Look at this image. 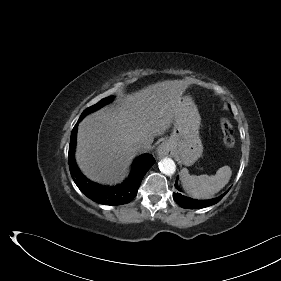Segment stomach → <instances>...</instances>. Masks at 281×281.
<instances>
[{"mask_svg":"<svg viewBox=\"0 0 281 281\" xmlns=\"http://www.w3.org/2000/svg\"><path fill=\"white\" fill-rule=\"evenodd\" d=\"M200 124L201 117L192 98L181 97L172 133L164 144L185 166L193 165L203 153L199 136Z\"/></svg>","mask_w":281,"mask_h":281,"instance_id":"0dacf381","label":"stomach"}]
</instances>
